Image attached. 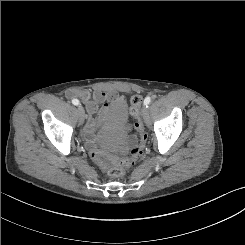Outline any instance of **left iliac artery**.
<instances>
[{
    "label": "left iliac artery",
    "mask_w": 245,
    "mask_h": 245,
    "mask_svg": "<svg viewBox=\"0 0 245 245\" xmlns=\"http://www.w3.org/2000/svg\"><path fill=\"white\" fill-rule=\"evenodd\" d=\"M150 102H151V98L150 97H146L145 100H144V105L146 107H148V105L150 104Z\"/></svg>",
    "instance_id": "44dca946"
}]
</instances>
